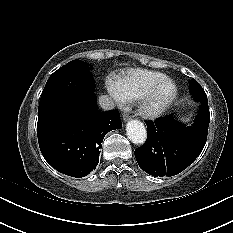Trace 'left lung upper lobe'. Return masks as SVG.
I'll return each instance as SVG.
<instances>
[{
	"label": "left lung upper lobe",
	"instance_id": "obj_1",
	"mask_svg": "<svg viewBox=\"0 0 233 233\" xmlns=\"http://www.w3.org/2000/svg\"><path fill=\"white\" fill-rule=\"evenodd\" d=\"M190 93L193 95L196 101L202 102L204 98H207L206 93L204 92L203 88L198 84L195 79L190 80Z\"/></svg>",
	"mask_w": 233,
	"mask_h": 233
}]
</instances>
